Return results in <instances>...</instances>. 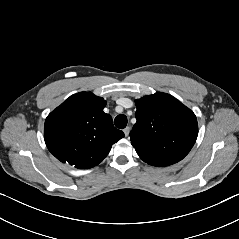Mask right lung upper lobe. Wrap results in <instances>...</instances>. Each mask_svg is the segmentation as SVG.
I'll list each match as a JSON object with an SVG mask.
<instances>
[{
  "instance_id": "1",
  "label": "right lung upper lobe",
  "mask_w": 239,
  "mask_h": 239,
  "mask_svg": "<svg viewBox=\"0 0 239 239\" xmlns=\"http://www.w3.org/2000/svg\"><path fill=\"white\" fill-rule=\"evenodd\" d=\"M106 101L91 92L70 96L46 118L44 139L49 151L62 163L78 169L98 165L111 146L124 137L103 112Z\"/></svg>"
}]
</instances>
